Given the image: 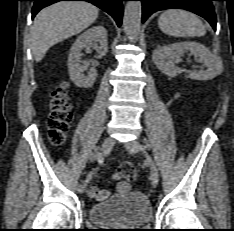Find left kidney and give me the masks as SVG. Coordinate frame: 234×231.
I'll use <instances>...</instances> for the list:
<instances>
[{
  "label": "left kidney",
  "mask_w": 234,
  "mask_h": 231,
  "mask_svg": "<svg viewBox=\"0 0 234 231\" xmlns=\"http://www.w3.org/2000/svg\"><path fill=\"white\" fill-rule=\"evenodd\" d=\"M190 52L201 63L208 66L207 70L190 71L188 77L194 80L207 81L215 78L223 71L220 57L213 55L208 48L197 42H178L158 47L152 55L157 68L168 76H176L175 62L185 53Z\"/></svg>",
  "instance_id": "left-kidney-1"
}]
</instances>
